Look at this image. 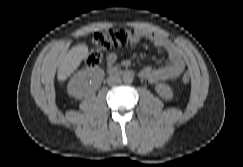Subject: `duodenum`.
Returning <instances> with one entry per match:
<instances>
[{
	"mask_svg": "<svg viewBox=\"0 0 243 167\" xmlns=\"http://www.w3.org/2000/svg\"><path fill=\"white\" fill-rule=\"evenodd\" d=\"M107 72L110 75H130V74L134 73V71L131 69H122V68L114 66V65H109L107 67Z\"/></svg>",
	"mask_w": 243,
	"mask_h": 167,
	"instance_id": "obj_1",
	"label": "duodenum"
}]
</instances>
